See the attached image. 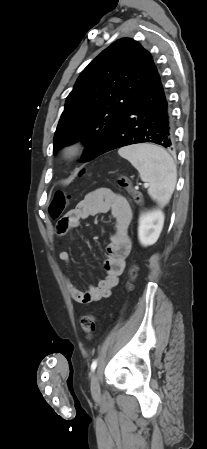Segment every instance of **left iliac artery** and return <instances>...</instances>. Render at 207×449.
<instances>
[{
    "mask_svg": "<svg viewBox=\"0 0 207 449\" xmlns=\"http://www.w3.org/2000/svg\"><path fill=\"white\" fill-rule=\"evenodd\" d=\"M97 367V360H94L91 364V371H94Z\"/></svg>",
    "mask_w": 207,
    "mask_h": 449,
    "instance_id": "left-iliac-artery-1",
    "label": "left iliac artery"
}]
</instances>
